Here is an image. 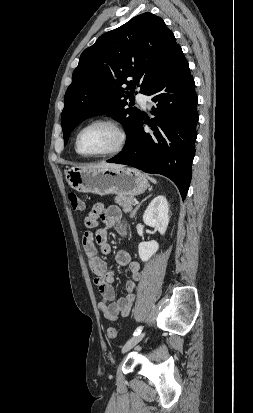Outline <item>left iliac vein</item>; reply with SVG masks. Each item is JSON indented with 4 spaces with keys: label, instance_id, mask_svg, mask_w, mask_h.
Wrapping results in <instances>:
<instances>
[{
    "label": "left iliac vein",
    "instance_id": "obj_1",
    "mask_svg": "<svg viewBox=\"0 0 253 413\" xmlns=\"http://www.w3.org/2000/svg\"><path fill=\"white\" fill-rule=\"evenodd\" d=\"M145 336V333H140L131 339H129L122 348V353L128 352L132 349L136 344H138Z\"/></svg>",
    "mask_w": 253,
    "mask_h": 413
}]
</instances>
